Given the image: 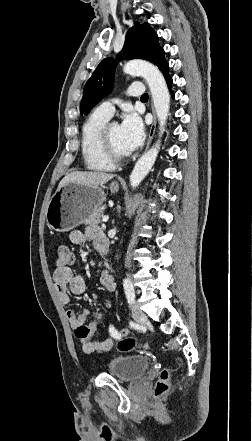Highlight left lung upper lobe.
<instances>
[{
	"mask_svg": "<svg viewBox=\"0 0 252 441\" xmlns=\"http://www.w3.org/2000/svg\"><path fill=\"white\" fill-rule=\"evenodd\" d=\"M164 50L158 44V36L148 23L134 22V26L127 32L124 47L117 57L124 59H144L158 62ZM115 61L112 58L102 60L84 87V94L80 106L81 114L87 115L91 109L113 88Z\"/></svg>",
	"mask_w": 252,
	"mask_h": 441,
	"instance_id": "1",
	"label": "left lung upper lobe"
}]
</instances>
